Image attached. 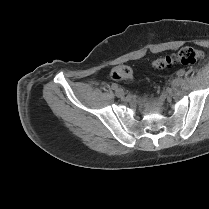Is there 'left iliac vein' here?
<instances>
[{
	"label": "left iliac vein",
	"instance_id": "obj_1",
	"mask_svg": "<svg viewBox=\"0 0 209 209\" xmlns=\"http://www.w3.org/2000/svg\"><path fill=\"white\" fill-rule=\"evenodd\" d=\"M180 78H181V77L178 76V77H176L175 79H173V80H172V85H173V86H178V85H179V79H180Z\"/></svg>",
	"mask_w": 209,
	"mask_h": 209
}]
</instances>
